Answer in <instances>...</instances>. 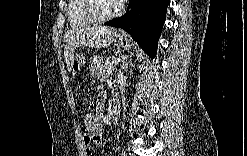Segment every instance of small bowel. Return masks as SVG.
I'll return each mask as SVG.
<instances>
[{"label":"small bowel","instance_id":"1","mask_svg":"<svg viewBox=\"0 0 247 156\" xmlns=\"http://www.w3.org/2000/svg\"><path fill=\"white\" fill-rule=\"evenodd\" d=\"M77 70H78V67L75 68V71H77ZM103 100H104V97L102 96L101 99H100V107L102 106ZM90 140H91V138H89V136L87 134H85V136H84V143L86 145L85 146V154L88 155V156L93 154V152H92V150H91V148L89 146ZM95 140L97 142L101 141V139L99 137H95Z\"/></svg>","mask_w":247,"mask_h":156}]
</instances>
